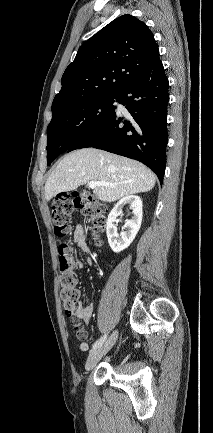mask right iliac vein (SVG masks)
Listing matches in <instances>:
<instances>
[{"instance_id": "obj_1", "label": "right iliac vein", "mask_w": 213, "mask_h": 433, "mask_svg": "<svg viewBox=\"0 0 213 433\" xmlns=\"http://www.w3.org/2000/svg\"><path fill=\"white\" fill-rule=\"evenodd\" d=\"M118 337V332L114 331L104 344L92 350L87 358L85 369L90 371L93 369L100 359L113 347Z\"/></svg>"}]
</instances>
